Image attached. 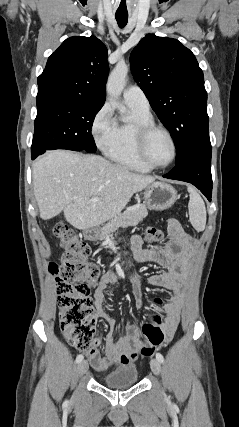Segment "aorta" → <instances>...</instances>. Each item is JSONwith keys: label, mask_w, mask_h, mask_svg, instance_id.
<instances>
[{"label": "aorta", "mask_w": 239, "mask_h": 427, "mask_svg": "<svg viewBox=\"0 0 239 427\" xmlns=\"http://www.w3.org/2000/svg\"><path fill=\"white\" fill-rule=\"evenodd\" d=\"M128 70L129 68L127 65L118 63L109 75L107 82V92L111 98L117 99L120 97L126 85ZM118 109L121 113H126L127 111L123 106H118Z\"/></svg>", "instance_id": "aorta-1"}]
</instances>
